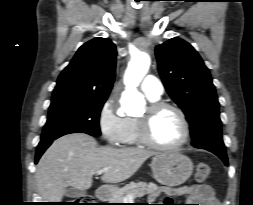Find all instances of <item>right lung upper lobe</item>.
<instances>
[{"instance_id": "right-lung-upper-lobe-1", "label": "right lung upper lobe", "mask_w": 253, "mask_h": 205, "mask_svg": "<svg viewBox=\"0 0 253 205\" xmlns=\"http://www.w3.org/2000/svg\"><path fill=\"white\" fill-rule=\"evenodd\" d=\"M116 55V47L108 38L83 44L58 77L52 100L107 98L115 78Z\"/></svg>"}]
</instances>
